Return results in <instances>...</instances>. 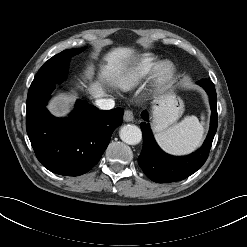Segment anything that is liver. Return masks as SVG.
<instances>
[{
	"mask_svg": "<svg viewBox=\"0 0 247 247\" xmlns=\"http://www.w3.org/2000/svg\"><path fill=\"white\" fill-rule=\"evenodd\" d=\"M134 54V50L130 48L120 47L111 50L104 58L107 65L101 69L99 81L92 83L88 89L91 97L98 99L106 96L103 84L116 82L127 71ZM51 108L57 116H65L68 113L67 106L58 102H53Z\"/></svg>",
	"mask_w": 247,
	"mask_h": 247,
	"instance_id": "obj_1",
	"label": "liver"
}]
</instances>
